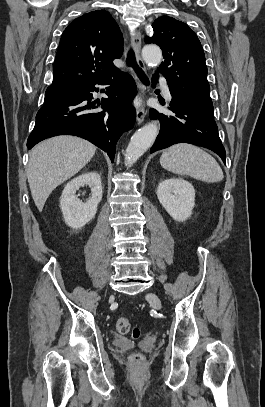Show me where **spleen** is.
<instances>
[{"label":"spleen","mask_w":265,"mask_h":407,"mask_svg":"<svg viewBox=\"0 0 265 407\" xmlns=\"http://www.w3.org/2000/svg\"><path fill=\"white\" fill-rule=\"evenodd\" d=\"M160 164L166 170L189 175L204 182H219L224 175L220 165L209 153L188 143L173 145L163 151Z\"/></svg>","instance_id":"obj_1"}]
</instances>
